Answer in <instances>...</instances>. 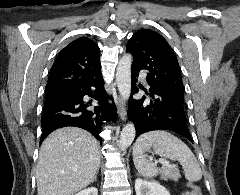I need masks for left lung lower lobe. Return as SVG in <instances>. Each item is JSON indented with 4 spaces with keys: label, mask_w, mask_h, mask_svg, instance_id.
Here are the masks:
<instances>
[{
    "label": "left lung lower lobe",
    "mask_w": 240,
    "mask_h": 195,
    "mask_svg": "<svg viewBox=\"0 0 240 195\" xmlns=\"http://www.w3.org/2000/svg\"><path fill=\"white\" fill-rule=\"evenodd\" d=\"M138 75L139 72L132 70V93L138 92L136 86ZM145 92L147 93L146 90ZM149 92V104L144 103L145 97L129 101L128 117L134 123L136 137L152 130H170L192 142L187 128L183 101L166 94L158 86H150Z\"/></svg>",
    "instance_id": "0a47b994"
}]
</instances>
